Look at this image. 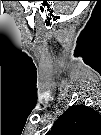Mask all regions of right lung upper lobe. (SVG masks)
<instances>
[{"mask_svg": "<svg viewBox=\"0 0 101 135\" xmlns=\"http://www.w3.org/2000/svg\"><path fill=\"white\" fill-rule=\"evenodd\" d=\"M93 113L92 109L83 105L72 106L58 118L54 126L64 129L69 134L95 135Z\"/></svg>", "mask_w": 101, "mask_h": 135, "instance_id": "cb5924a9", "label": "right lung upper lobe"}]
</instances>
